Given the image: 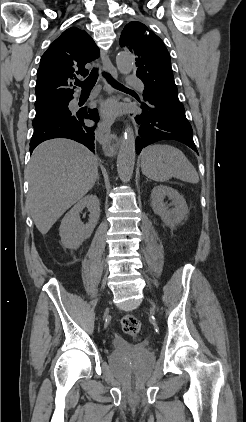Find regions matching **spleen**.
I'll return each instance as SVG.
<instances>
[{
    "label": "spleen",
    "instance_id": "obj_1",
    "mask_svg": "<svg viewBox=\"0 0 246 422\" xmlns=\"http://www.w3.org/2000/svg\"><path fill=\"white\" fill-rule=\"evenodd\" d=\"M142 173L156 182H165L175 177L197 184L199 176L185 154L166 144L148 146L141 153Z\"/></svg>",
    "mask_w": 246,
    "mask_h": 422
}]
</instances>
